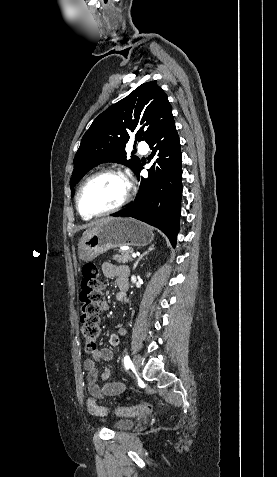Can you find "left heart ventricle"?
Returning a JSON list of instances; mask_svg holds the SVG:
<instances>
[{"label": "left heart ventricle", "instance_id": "obj_1", "mask_svg": "<svg viewBox=\"0 0 277 477\" xmlns=\"http://www.w3.org/2000/svg\"><path fill=\"white\" fill-rule=\"evenodd\" d=\"M126 182L116 175H101L90 181L81 196V206L87 213H97L118 204L126 193Z\"/></svg>", "mask_w": 277, "mask_h": 477}]
</instances>
